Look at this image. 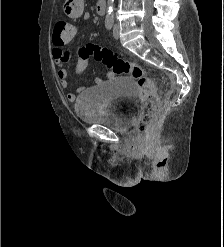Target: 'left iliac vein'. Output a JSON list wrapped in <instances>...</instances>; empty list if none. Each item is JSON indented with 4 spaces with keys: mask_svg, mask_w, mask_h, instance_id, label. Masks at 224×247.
Segmentation results:
<instances>
[{
    "mask_svg": "<svg viewBox=\"0 0 224 247\" xmlns=\"http://www.w3.org/2000/svg\"><path fill=\"white\" fill-rule=\"evenodd\" d=\"M113 37L115 39L119 38V25H117V24L114 26V29H113Z\"/></svg>",
    "mask_w": 224,
    "mask_h": 247,
    "instance_id": "obj_1",
    "label": "left iliac vein"
}]
</instances>
